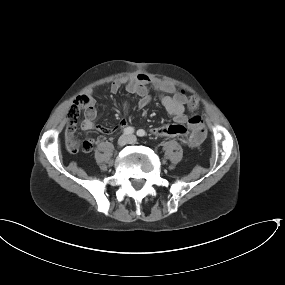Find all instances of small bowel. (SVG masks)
I'll return each instance as SVG.
<instances>
[{
  "label": "small bowel",
  "instance_id": "1",
  "mask_svg": "<svg viewBox=\"0 0 285 285\" xmlns=\"http://www.w3.org/2000/svg\"><path fill=\"white\" fill-rule=\"evenodd\" d=\"M123 84H125L127 92L139 97L138 105L141 108L147 107L151 102L149 85H153L156 89L172 90L170 84L163 82L153 75L138 74L128 80L113 81L109 86L110 93H118ZM84 93L91 97L92 102L94 101L93 88H87ZM160 100L166 111L173 116L174 123L155 127L151 131L152 134L155 137H181L182 143L189 148L198 147L205 140L207 131L200 115H185L186 95L183 92H177L171 96L162 95ZM127 107L128 106L126 105V108ZM95 117L96 111L92 108L86 113V119L82 123V127L86 130H94L100 133H112L116 130L127 128V121L125 119H121L114 127L107 128L95 123ZM75 128V123L72 121L66 126V149L72 154L90 152L95 140L93 138H88L80 143L74 141L73 134Z\"/></svg>",
  "mask_w": 285,
  "mask_h": 285
}]
</instances>
